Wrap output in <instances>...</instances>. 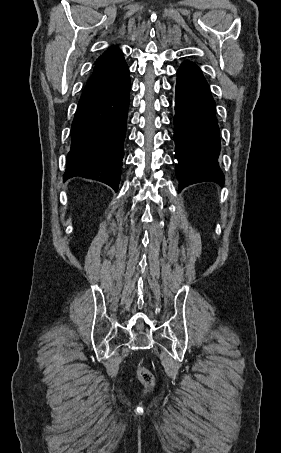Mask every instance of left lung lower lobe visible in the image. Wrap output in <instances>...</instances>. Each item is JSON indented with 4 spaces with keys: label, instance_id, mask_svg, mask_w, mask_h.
<instances>
[{
    "label": "left lung lower lobe",
    "instance_id": "0a47b994",
    "mask_svg": "<svg viewBox=\"0 0 281 453\" xmlns=\"http://www.w3.org/2000/svg\"><path fill=\"white\" fill-rule=\"evenodd\" d=\"M174 141L179 191L204 181L224 185L218 163L220 139L215 103L201 70L191 62H184L178 69Z\"/></svg>",
    "mask_w": 281,
    "mask_h": 453
}]
</instances>
